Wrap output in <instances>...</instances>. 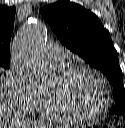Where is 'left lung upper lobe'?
<instances>
[{"label":"left lung upper lobe","mask_w":125,"mask_h":128,"mask_svg":"<svg viewBox=\"0 0 125 128\" xmlns=\"http://www.w3.org/2000/svg\"><path fill=\"white\" fill-rule=\"evenodd\" d=\"M62 44L101 70L113 85L116 105L110 110L125 116V88L118 54L110 33L91 11L69 1L56 2L41 9Z\"/></svg>","instance_id":"left-lung-upper-lobe-1"}]
</instances>
